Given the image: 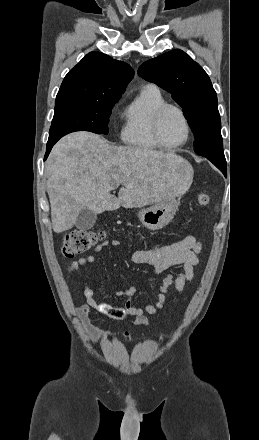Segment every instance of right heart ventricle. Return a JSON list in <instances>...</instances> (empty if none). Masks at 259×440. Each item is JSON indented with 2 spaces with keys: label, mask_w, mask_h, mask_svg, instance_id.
Listing matches in <instances>:
<instances>
[{
  "label": "right heart ventricle",
  "mask_w": 259,
  "mask_h": 440,
  "mask_svg": "<svg viewBox=\"0 0 259 440\" xmlns=\"http://www.w3.org/2000/svg\"><path fill=\"white\" fill-rule=\"evenodd\" d=\"M166 103L157 89H143L124 109L120 131L122 141L141 151H156L152 124L156 111Z\"/></svg>",
  "instance_id": "1"
}]
</instances>
